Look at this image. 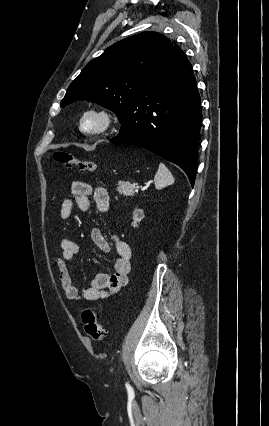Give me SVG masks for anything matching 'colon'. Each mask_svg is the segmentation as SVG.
Returning a JSON list of instances; mask_svg holds the SVG:
<instances>
[{"label": "colon", "mask_w": 269, "mask_h": 426, "mask_svg": "<svg viewBox=\"0 0 269 426\" xmlns=\"http://www.w3.org/2000/svg\"><path fill=\"white\" fill-rule=\"evenodd\" d=\"M52 158L64 166H75L82 172H96L98 165L94 161L82 160L65 150L53 152ZM82 321L86 334L95 341H104L106 331L100 321V313L93 309H85L82 312Z\"/></svg>", "instance_id": "5ec220e1"}]
</instances>
